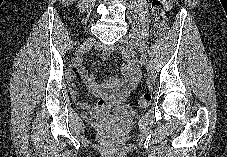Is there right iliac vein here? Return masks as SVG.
<instances>
[{"label":"right iliac vein","instance_id":"obj_1","mask_svg":"<svg viewBox=\"0 0 227 157\" xmlns=\"http://www.w3.org/2000/svg\"><path fill=\"white\" fill-rule=\"evenodd\" d=\"M95 43L94 39L87 40L81 47L77 50V56H80L85 50L91 48Z\"/></svg>","mask_w":227,"mask_h":157}]
</instances>
